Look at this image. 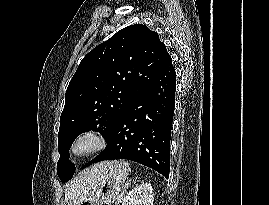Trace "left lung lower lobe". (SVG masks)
<instances>
[{
  "instance_id": "left-lung-lower-lobe-1",
  "label": "left lung lower lobe",
  "mask_w": 269,
  "mask_h": 205,
  "mask_svg": "<svg viewBox=\"0 0 269 205\" xmlns=\"http://www.w3.org/2000/svg\"><path fill=\"white\" fill-rule=\"evenodd\" d=\"M175 91L176 72L169 57L156 78L120 115L105 137V150L82 169L99 161L127 159L168 178Z\"/></svg>"
}]
</instances>
